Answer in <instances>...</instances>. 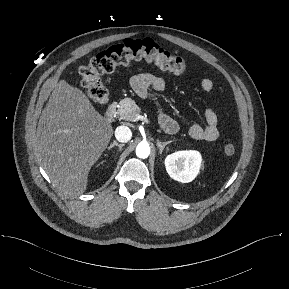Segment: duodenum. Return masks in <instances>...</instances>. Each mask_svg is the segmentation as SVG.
Listing matches in <instances>:
<instances>
[{
    "mask_svg": "<svg viewBox=\"0 0 289 289\" xmlns=\"http://www.w3.org/2000/svg\"><path fill=\"white\" fill-rule=\"evenodd\" d=\"M115 113H116V104L111 103L107 107L106 112H105L106 121L111 122L115 116Z\"/></svg>",
    "mask_w": 289,
    "mask_h": 289,
    "instance_id": "obj_1",
    "label": "duodenum"
}]
</instances>
